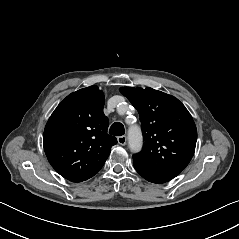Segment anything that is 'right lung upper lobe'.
Masks as SVG:
<instances>
[{"label":"right lung upper lobe","instance_id":"cb5924a9","mask_svg":"<svg viewBox=\"0 0 239 239\" xmlns=\"http://www.w3.org/2000/svg\"><path fill=\"white\" fill-rule=\"evenodd\" d=\"M105 98L97 86L68 95L52 113L44 130V151L52 167L72 182L94 176L117 139L107 134Z\"/></svg>","mask_w":239,"mask_h":239}]
</instances>
